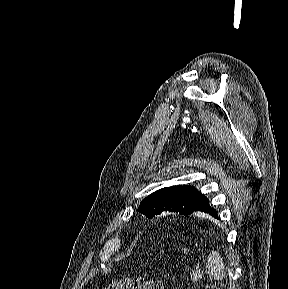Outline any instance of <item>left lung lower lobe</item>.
<instances>
[{
	"label": "left lung lower lobe",
	"instance_id": "left-lung-lower-lobe-1",
	"mask_svg": "<svg viewBox=\"0 0 288 289\" xmlns=\"http://www.w3.org/2000/svg\"><path fill=\"white\" fill-rule=\"evenodd\" d=\"M195 211L208 213L209 215L218 219L217 211L209 205V200L207 197H204V199L194 208L193 212Z\"/></svg>",
	"mask_w": 288,
	"mask_h": 289
}]
</instances>
